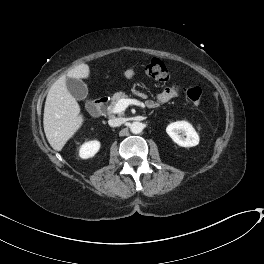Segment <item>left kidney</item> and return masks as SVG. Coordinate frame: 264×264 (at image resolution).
Instances as JSON below:
<instances>
[{
  "mask_svg": "<svg viewBox=\"0 0 264 264\" xmlns=\"http://www.w3.org/2000/svg\"><path fill=\"white\" fill-rule=\"evenodd\" d=\"M166 132L179 146L193 147L199 143L197 132L187 121H177L169 124Z\"/></svg>",
  "mask_w": 264,
  "mask_h": 264,
  "instance_id": "1",
  "label": "left kidney"
}]
</instances>
